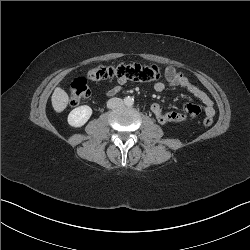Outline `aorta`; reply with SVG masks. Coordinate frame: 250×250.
I'll list each match as a JSON object with an SVG mask.
<instances>
[{
  "instance_id": "1",
  "label": "aorta",
  "mask_w": 250,
  "mask_h": 250,
  "mask_svg": "<svg viewBox=\"0 0 250 250\" xmlns=\"http://www.w3.org/2000/svg\"><path fill=\"white\" fill-rule=\"evenodd\" d=\"M124 104L128 107L132 106L134 104L133 97L127 96L124 98Z\"/></svg>"
}]
</instances>
